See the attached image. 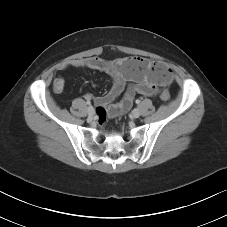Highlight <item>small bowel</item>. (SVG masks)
Wrapping results in <instances>:
<instances>
[{"label": "small bowel", "mask_w": 227, "mask_h": 227, "mask_svg": "<svg viewBox=\"0 0 227 227\" xmlns=\"http://www.w3.org/2000/svg\"><path fill=\"white\" fill-rule=\"evenodd\" d=\"M88 68L107 73L112 78V86L109 91L95 98L99 106L107 107L111 117H117L126 113L132 106L137 94L147 97L155 96L158 87L170 81L171 77L165 76L158 70L152 68V62L139 57H123L115 60H107L92 56L73 59L61 67ZM63 77H56L53 82V90L60 93L64 88ZM123 94L121 100L114 101ZM91 99V95L86 96Z\"/></svg>", "instance_id": "c3829d8e"}]
</instances>
